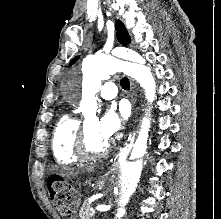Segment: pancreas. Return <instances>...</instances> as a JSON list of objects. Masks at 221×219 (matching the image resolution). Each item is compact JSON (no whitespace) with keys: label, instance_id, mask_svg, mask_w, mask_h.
Returning a JSON list of instances; mask_svg holds the SVG:
<instances>
[{"label":"pancreas","instance_id":"1","mask_svg":"<svg viewBox=\"0 0 221 219\" xmlns=\"http://www.w3.org/2000/svg\"><path fill=\"white\" fill-rule=\"evenodd\" d=\"M95 215L94 208L85 201L79 211L80 219H91Z\"/></svg>","mask_w":221,"mask_h":219}]
</instances>
